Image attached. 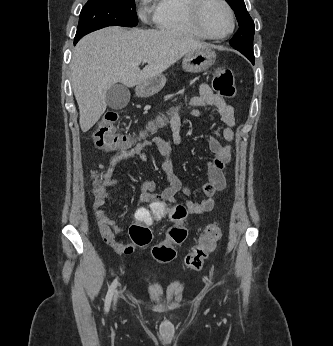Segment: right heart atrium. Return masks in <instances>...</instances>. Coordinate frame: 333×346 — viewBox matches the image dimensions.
<instances>
[{"instance_id":"1","label":"right heart atrium","mask_w":333,"mask_h":346,"mask_svg":"<svg viewBox=\"0 0 333 346\" xmlns=\"http://www.w3.org/2000/svg\"><path fill=\"white\" fill-rule=\"evenodd\" d=\"M138 3H139V15L143 20H145L152 7L153 0H138Z\"/></svg>"}]
</instances>
